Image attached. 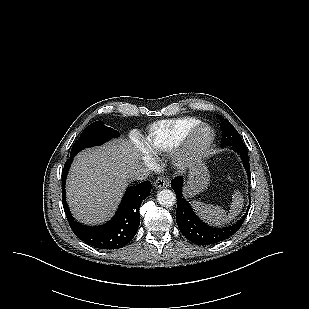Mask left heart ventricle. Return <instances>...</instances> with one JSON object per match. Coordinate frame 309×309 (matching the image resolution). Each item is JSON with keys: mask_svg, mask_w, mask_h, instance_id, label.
I'll return each mask as SVG.
<instances>
[{"mask_svg": "<svg viewBox=\"0 0 309 309\" xmlns=\"http://www.w3.org/2000/svg\"><path fill=\"white\" fill-rule=\"evenodd\" d=\"M209 130L207 129H202L199 134H198V142L202 143L205 142L209 138Z\"/></svg>", "mask_w": 309, "mask_h": 309, "instance_id": "left-heart-ventricle-1", "label": "left heart ventricle"}]
</instances>
